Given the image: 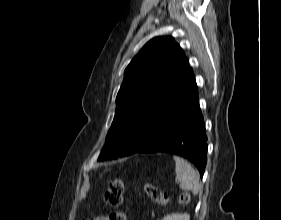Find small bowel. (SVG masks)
Wrapping results in <instances>:
<instances>
[{"mask_svg": "<svg viewBox=\"0 0 281 220\" xmlns=\"http://www.w3.org/2000/svg\"><path fill=\"white\" fill-rule=\"evenodd\" d=\"M93 220H108V217H106V216H98V217L94 218Z\"/></svg>", "mask_w": 281, "mask_h": 220, "instance_id": "small-bowel-1", "label": "small bowel"}]
</instances>
